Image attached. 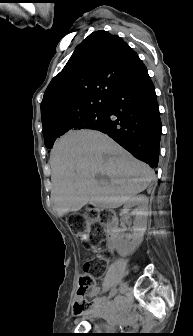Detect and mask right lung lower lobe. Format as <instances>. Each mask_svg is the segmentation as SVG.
<instances>
[{
	"label": "right lung lower lobe",
	"instance_id": "obj_1",
	"mask_svg": "<svg viewBox=\"0 0 193 336\" xmlns=\"http://www.w3.org/2000/svg\"><path fill=\"white\" fill-rule=\"evenodd\" d=\"M106 110L107 122L98 131L156 168L162 125L155 89L142 61L110 98Z\"/></svg>",
	"mask_w": 193,
	"mask_h": 336
}]
</instances>
